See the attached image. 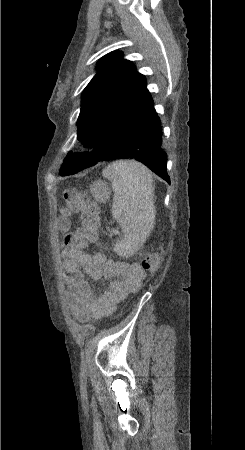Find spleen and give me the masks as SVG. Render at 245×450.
Returning <instances> with one entry per match:
<instances>
[{"mask_svg":"<svg viewBox=\"0 0 245 450\" xmlns=\"http://www.w3.org/2000/svg\"><path fill=\"white\" fill-rule=\"evenodd\" d=\"M103 176L112 183V215L124 234L114 251L122 257L132 256L146 241L155 223L152 174L145 165L131 160L109 165Z\"/></svg>","mask_w":245,"mask_h":450,"instance_id":"1","label":"spleen"}]
</instances>
